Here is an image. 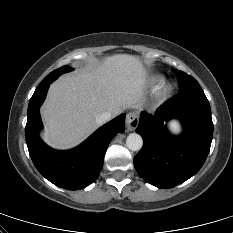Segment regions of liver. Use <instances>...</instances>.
<instances>
[{
	"mask_svg": "<svg viewBox=\"0 0 233 233\" xmlns=\"http://www.w3.org/2000/svg\"><path fill=\"white\" fill-rule=\"evenodd\" d=\"M147 72L136 56L116 54L55 81L41 108L44 141L53 148L76 146L98 127L103 112L116 116L138 107Z\"/></svg>",
	"mask_w": 233,
	"mask_h": 233,
	"instance_id": "obj_1",
	"label": "liver"
}]
</instances>
